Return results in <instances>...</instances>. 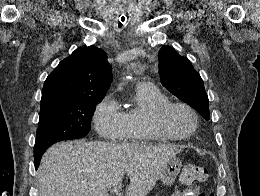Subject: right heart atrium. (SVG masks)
<instances>
[{
  "instance_id": "1",
  "label": "right heart atrium",
  "mask_w": 260,
  "mask_h": 196,
  "mask_svg": "<svg viewBox=\"0 0 260 196\" xmlns=\"http://www.w3.org/2000/svg\"><path fill=\"white\" fill-rule=\"evenodd\" d=\"M93 120L99 139L94 143H113L117 130L125 127L124 112L119 103L111 95H105L95 106ZM142 192V190H138Z\"/></svg>"
}]
</instances>
